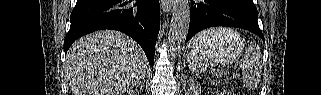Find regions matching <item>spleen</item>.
<instances>
[{
    "instance_id": "3e777b00",
    "label": "spleen",
    "mask_w": 321,
    "mask_h": 95,
    "mask_svg": "<svg viewBox=\"0 0 321 95\" xmlns=\"http://www.w3.org/2000/svg\"><path fill=\"white\" fill-rule=\"evenodd\" d=\"M230 32L231 30L227 28H216L203 31L196 37L215 42ZM188 65L192 71L196 72H202L206 69L204 66L190 61H188ZM240 68L242 70L244 86L248 89L257 88L261 81L262 60L260 47L256 43L251 42L248 48L245 50V54L240 60Z\"/></svg>"
}]
</instances>
